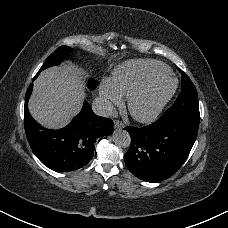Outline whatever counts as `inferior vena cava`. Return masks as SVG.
Masks as SVG:
<instances>
[{"label":"inferior vena cava","mask_w":228,"mask_h":228,"mask_svg":"<svg viewBox=\"0 0 228 228\" xmlns=\"http://www.w3.org/2000/svg\"><path fill=\"white\" fill-rule=\"evenodd\" d=\"M92 110L96 115L108 117L114 112V105L106 97L99 96L93 100Z\"/></svg>","instance_id":"inferior-vena-cava-1"}]
</instances>
